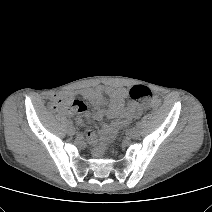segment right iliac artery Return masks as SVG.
<instances>
[{"label":"right iliac artery","instance_id":"82829eb1","mask_svg":"<svg viewBox=\"0 0 212 212\" xmlns=\"http://www.w3.org/2000/svg\"><path fill=\"white\" fill-rule=\"evenodd\" d=\"M68 124H69L70 126H72V125H73V122H72V121H68Z\"/></svg>","mask_w":212,"mask_h":212}]
</instances>
